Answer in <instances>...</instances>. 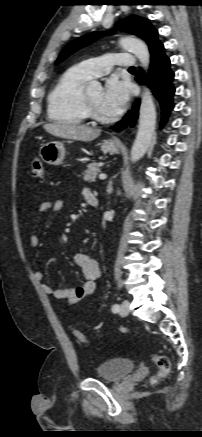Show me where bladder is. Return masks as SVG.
Here are the masks:
<instances>
[{
    "label": "bladder",
    "mask_w": 202,
    "mask_h": 437,
    "mask_svg": "<svg viewBox=\"0 0 202 437\" xmlns=\"http://www.w3.org/2000/svg\"><path fill=\"white\" fill-rule=\"evenodd\" d=\"M135 367V362L129 358H113L99 364L95 373L99 379L118 382L132 373Z\"/></svg>",
    "instance_id": "obj_1"
}]
</instances>
